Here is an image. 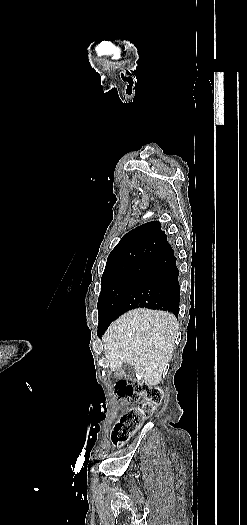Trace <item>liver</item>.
<instances>
[{
	"instance_id": "6515ba94",
	"label": "liver",
	"mask_w": 247,
	"mask_h": 525,
	"mask_svg": "<svg viewBox=\"0 0 247 525\" xmlns=\"http://www.w3.org/2000/svg\"><path fill=\"white\" fill-rule=\"evenodd\" d=\"M178 329L175 315L166 311H127L102 337L110 371L128 363L145 383L159 385L167 375Z\"/></svg>"
}]
</instances>
